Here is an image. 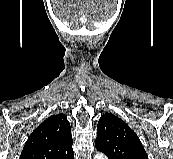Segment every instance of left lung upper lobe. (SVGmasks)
<instances>
[{
	"label": "left lung upper lobe",
	"instance_id": "obj_1",
	"mask_svg": "<svg viewBox=\"0 0 173 159\" xmlns=\"http://www.w3.org/2000/svg\"><path fill=\"white\" fill-rule=\"evenodd\" d=\"M95 146L108 159H148L136 133L111 113L102 115L98 122Z\"/></svg>",
	"mask_w": 173,
	"mask_h": 159
}]
</instances>
